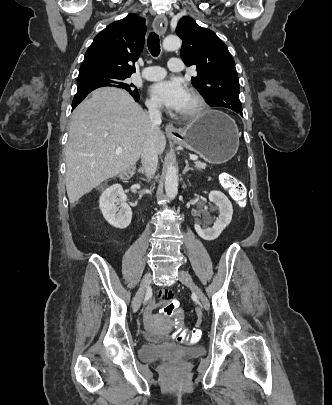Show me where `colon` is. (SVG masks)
I'll use <instances>...</instances> for the list:
<instances>
[{"mask_svg": "<svg viewBox=\"0 0 332 405\" xmlns=\"http://www.w3.org/2000/svg\"><path fill=\"white\" fill-rule=\"evenodd\" d=\"M221 185L230 193L231 197L239 204L243 205L246 200V188L244 184L235 176L224 173L220 176ZM159 306L162 308V317L170 322V329L174 333L169 334L170 342L196 343L200 338V325H181V320L188 317L186 308L182 307L179 299L174 293L172 297H159Z\"/></svg>", "mask_w": 332, "mask_h": 405, "instance_id": "colon-1", "label": "colon"}]
</instances>
